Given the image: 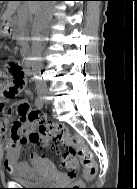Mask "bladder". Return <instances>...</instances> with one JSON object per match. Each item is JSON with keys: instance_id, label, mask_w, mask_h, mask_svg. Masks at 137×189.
Instances as JSON below:
<instances>
[{"instance_id": "bladder-1", "label": "bladder", "mask_w": 137, "mask_h": 189, "mask_svg": "<svg viewBox=\"0 0 137 189\" xmlns=\"http://www.w3.org/2000/svg\"><path fill=\"white\" fill-rule=\"evenodd\" d=\"M13 181L24 185H49L54 183L58 177V171L53 162L45 157L33 166H30L26 174H20L19 171L10 173Z\"/></svg>"}]
</instances>
